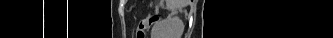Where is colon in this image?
I'll list each match as a JSON object with an SVG mask.
<instances>
[{
  "label": "colon",
  "mask_w": 333,
  "mask_h": 38,
  "mask_svg": "<svg viewBox=\"0 0 333 38\" xmlns=\"http://www.w3.org/2000/svg\"><path fill=\"white\" fill-rule=\"evenodd\" d=\"M158 20V17L153 16L150 18L142 19L137 27L136 38H145L146 33L149 30L150 26Z\"/></svg>",
  "instance_id": "1"
}]
</instances>
